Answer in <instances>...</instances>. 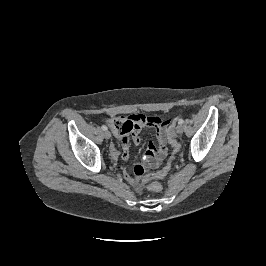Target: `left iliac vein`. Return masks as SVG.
<instances>
[{
  "instance_id": "1",
  "label": "left iliac vein",
  "mask_w": 266,
  "mask_h": 266,
  "mask_svg": "<svg viewBox=\"0 0 266 266\" xmlns=\"http://www.w3.org/2000/svg\"><path fill=\"white\" fill-rule=\"evenodd\" d=\"M176 133L179 135L183 133V127L180 124L176 126Z\"/></svg>"
}]
</instances>
